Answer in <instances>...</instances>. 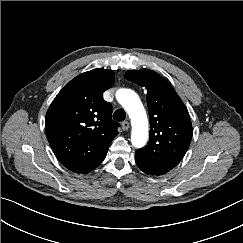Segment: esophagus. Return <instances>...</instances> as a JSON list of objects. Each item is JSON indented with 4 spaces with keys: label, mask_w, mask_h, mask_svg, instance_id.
Returning <instances> with one entry per match:
<instances>
[{
    "label": "esophagus",
    "mask_w": 243,
    "mask_h": 243,
    "mask_svg": "<svg viewBox=\"0 0 243 243\" xmlns=\"http://www.w3.org/2000/svg\"><path fill=\"white\" fill-rule=\"evenodd\" d=\"M121 126H122V129L124 131H127L129 129V122L128 121H124V122H122Z\"/></svg>",
    "instance_id": "obj_1"
}]
</instances>
